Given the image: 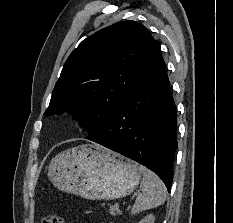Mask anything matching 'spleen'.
Returning <instances> with one entry per match:
<instances>
[{
  "label": "spleen",
  "mask_w": 233,
  "mask_h": 223,
  "mask_svg": "<svg viewBox=\"0 0 233 223\" xmlns=\"http://www.w3.org/2000/svg\"><path fill=\"white\" fill-rule=\"evenodd\" d=\"M143 179L140 183L139 195L135 199L133 207H131V213H139L143 209H152V207H158L166 199V187L153 171L142 167Z\"/></svg>",
  "instance_id": "1"
}]
</instances>
